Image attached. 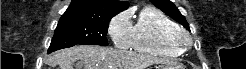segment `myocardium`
I'll use <instances>...</instances> for the list:
<instances>
[{
	"mask_svg": "<svg viewBox=\"0 0 246 69\" xmlns=\"http://www.w3.org/2000/svg\"><path fill=\"white\" fill-rule=\"evenodd\" d=\"M172 38L174 41L183 46V47H188L190 45L191 39L188 35V33L183 30L182 28L177 27L173 32H172Z\"/></svg>",
	"mask_w": 246,
	"mask_h": 69,
	"instance_id": "f54148a6",
	"label": "myocardium"
}]
</instances>
